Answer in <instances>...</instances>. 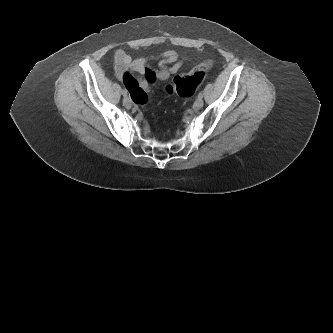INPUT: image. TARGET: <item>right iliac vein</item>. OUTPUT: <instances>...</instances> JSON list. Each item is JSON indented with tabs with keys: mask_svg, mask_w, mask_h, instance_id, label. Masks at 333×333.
<instances>
[{
	"mask_svg": "<svg viewBox=\"0 0 333 333\" xmlns=\"http://www.w3.org/2000/svg\"><path fill=\"white\" fill-rule=\"evenodd\" d=\"M123 105L126 108L130 109L132 107V102L128 97L125 96L124 99H123Z\"/></svg>",
	"mask_w": 333,
	"mask_h": 333,
	"instance_id": "right-iliac-vein-1",
	"label": "right iliac vein"
}]
</instances>
